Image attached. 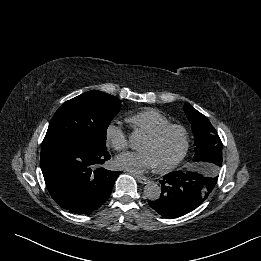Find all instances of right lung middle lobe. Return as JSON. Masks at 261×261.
<instances>
[{
  "mask_svg": "<svg viewBox=\"0 0 261 261\" xmlns=\"http://www.w3.org/2000/svg\"><path fill=\"white\" fill-rule=\"evenodd\" d=\"M120 106L121 100L101 91L66 101L54 114L41 150L76 144L105 148L107 128Z\"/></svg>",
  "mask_w": 261,
  "mask_h": 261,
  "instance_id": "obj_1",
  "label": "right lung middle lobe"
}]
</instances>
